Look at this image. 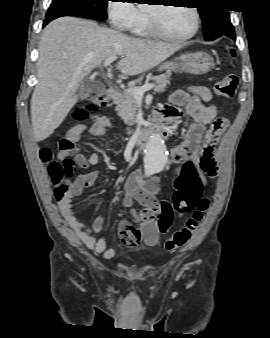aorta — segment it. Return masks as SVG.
Masks as SVG:
<instances>
[{"mask_svg": "<svg viewBox=\"0 0 270 338\" xmlns=\"http://www.w3.org/2000/svg\"><path fill=\"white\" fill-rule=\"evenodd\" d=\"M144 164L146 175L158 173L166 167V147L160 135H153L149 139L145 149Z\"/></svg>", "mask_w": 270, "mask_h": 338, "instance_id": "1", "label": "aorta"}]
</instances>
